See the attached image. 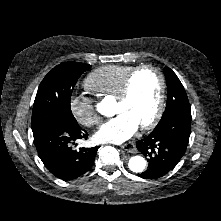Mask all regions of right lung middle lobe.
<instances>
[{
  "label": "right lung middle lobe",
  "instance_id": "right-lung-middle-lobe-1",
  "mask_svg": "<svg viewBox=\"0 0 221 221\" xmlns=\"http://www.w3.org/2000/svg\"><path fill=\"white\" fill-rule=\"evenodd\" d=\"M91 65L64 62L54 67L39 85L32 111V130L49 123L64 121L78 124L74 118L70 99L79 77Z\"/></svg>",
  "mask_w": 221,
  "mask_h": 221
}]
</instances>
